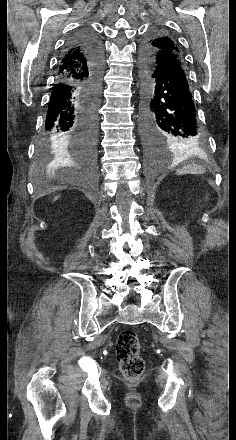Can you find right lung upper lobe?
Segmentation results:
<instances>
[{
  "label": "right lung upper lobe",
  "mask_w": 236,
  "mask_h": 440,
  "mask_svg": "<svg viewBox=\"0 0 236 440\" xmlns=\"http://www.w3.org/2000/svg\"><path fill=\"white\" fill-rule=\"evenodd\" d=\"M89 62L78 45L67 47L60 60L57 81L86 82L89 79Z\"/></svg>",
  "instance_id": "cb5924a9"
}]
</instances>
